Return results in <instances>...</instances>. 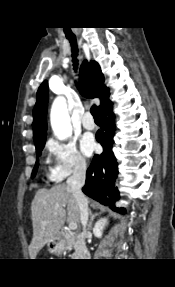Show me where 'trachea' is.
<instances>
[{"mask_svg":"<svg viewBox=\"0 0 175 287\" xmlns=\"http://www.w3.org/2000/svg\"><path fill=\"white\" fill-rule=\"evenodd\" d=\"M68 40L71 43V47H72V57H73V63H74V68H77V55H78V49H77V44H76V38L75 37H71V36H67ZM91 114L93 115L94 119L96 121H99V111L96 105H93L90 109Z\"/></svg>","mask_w":175,"mask_h":287,"instance_id":"1","label":"trachea"}]
</instances>
